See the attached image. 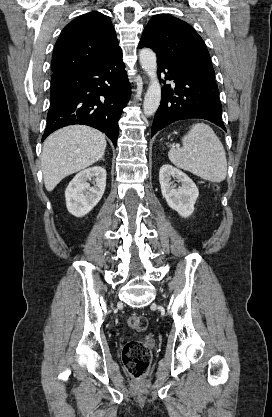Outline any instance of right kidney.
Here are the masks:
<instances>
[{
    "instance_id": "1",
    "label": "right kidney",
    "mask_w": 272,
    "mask_h": 417,
    "mask_svg": "<svg viewBox=\"0 0 272 417\" xmlns=\"http://www.w3.org/2000/svg\"><path fill=\"white\" fill-rule=\"evenodd\" d=\"M94 178V186L87 183ZM106 187V170L94 166L78 173L65 191L66 206L75 217L88 214L102 198Z\"/></svg>"
}]
</instances>
